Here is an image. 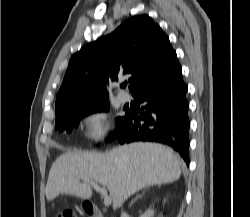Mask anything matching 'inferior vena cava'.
<instances>
[{"instance_id": "1", "label": "inferior vena cava", "mask_w": 250, "mask_h": 217, "mask_svg": "<svg viewBox=\"0 0 250 217\" xmlns=\"http://www.w3.org/2000/svg\"><path fill=\"white\" fill-rule=\"evenodd\" d=\"M121 217H126V213L122 212Z\"/></svg>"}]
</instances>
